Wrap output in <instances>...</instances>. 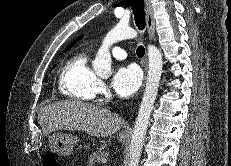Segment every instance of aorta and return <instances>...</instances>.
I'll use <instances>...</instances> for the list:
<instances>
[{"label": "aorta", "instance_id": "aorta-1", "mask_svg": "<svg viewBox=\"0 0 231 166\" xmlns=\"http://www.w3.org/2000/svg\"><path fill=\"white\" fill-rule=\"evenodd\" d=\"M137 37V32L128 25L119 23L105 36L96 58L93 62L95 73L101 77H108L111 74V54L110 46L114 43L126 39ZM149 70L146 88L135 122L130 143V158L128 166H138L144 144L146 130L149 124L150 115L157 96L158 87L162 74V55L160 50L154 45L148 46Z\"/></svg>", "mask_w": 231, "mask_h": 166}]
</instances>
